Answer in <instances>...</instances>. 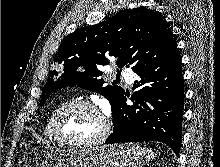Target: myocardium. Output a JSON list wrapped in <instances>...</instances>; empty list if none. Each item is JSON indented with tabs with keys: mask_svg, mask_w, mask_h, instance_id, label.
<instances>
[{
	"mask_svg": "<svg viewBox=\"0 0 220 167\" xmlns=\"http://www.w3.org/2000/svg\"><path fill=\"white\" fill-rule=\"evenodd\" d=\"M77 106L89 108L100 116L102 127L100 133L95 138L89 140H74L67 138L62 133L61 120L72 108ZM53 132L57 140L64 145L74 147H93L100 145L107 140L111 132V122L106 112L95 103L89 100L75 99L66 102L58 109L53 119Z\"/></svg>",
	"mask_w": 220,
	"mask_h": 167,
	"instance_id": "myocardium-1",
	"label": "myocardium"
}]
</instances>
